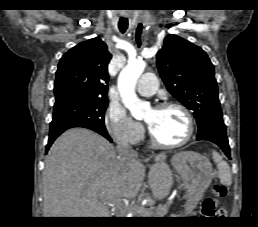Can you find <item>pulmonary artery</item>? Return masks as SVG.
Wrapping results in <instances>:
<instances>
[{"label": "pulmonary artery", "mask_w": 258, "mask_h": 227, "mask_svg": "<svg viewBox=\"0 0 258 227\" xmlns=\"http://www.w3.org/2000/svg\"><path fill=\"white\" fill-rule=\"evenodd\" d=\"M157 85L158 83L155 75L146 73L140 78L137 84V91L142 96H152L156 93Z\"/></svg>", "instance_id": "pulmonary-artery-1"}]
</instances>
